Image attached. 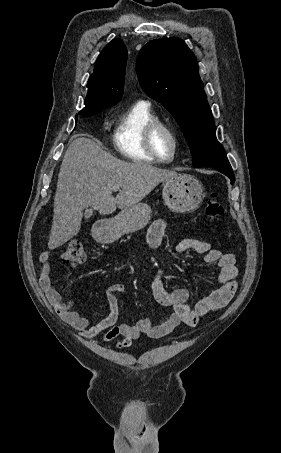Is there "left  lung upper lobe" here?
<instances>
[{"instance_id":"left-lung-upper-lobe-1","label":"left lung upper lobe","mask_w":281,"mask_h":453,"mask_svg":"<svg viewBox=\"0 0 281 453\" xmlns=\"http://www.w3.org/2000/svg\"><path fill=\"white\" fill-rule=\"evenodd\" d=\"M137 75L143 91L160 102L180 125L195 167H231L216 139L196 57L183 40L148 42L139 52Z\"/></svg>"}]
</instances>
